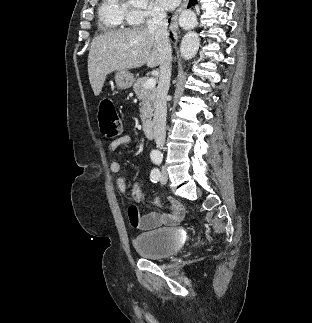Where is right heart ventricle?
<instances>
[{"label": "right heart ventricle", "instance_id": "obj_1", "mask_svg": "<svg viewBox=\"0 0 312 323\" xmlns=\"http://www.w3.org/2000/svg\"><path fill=\"white\" fill-rule=\"evenodd\" d=\"M121 0H101L94 14L95 20H101L106 29H127L134 25L137 9H129L128 5H120Z\"/></svg>", "mask_w": 312, "mask_h": 323}]
</instances>
